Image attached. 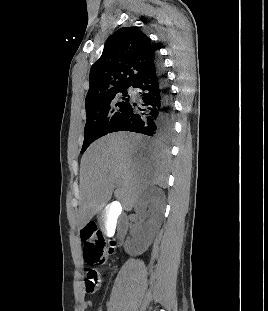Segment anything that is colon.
I'll return each instance as SVG.
<instances>
[{
	"mask_svg": "<svg viewBox=\"0 0 268 311\" xmlns=\"http://www.w3.org/2000/svg\"><path fill=\"white\" fill-rule=\"evenodd\" d=\"M81 241L83 243V256L87 264L97 265L103 264L106 258L113 253V249L105 246L104 238L97 227L89 223L80 232ZM100 286V277L94 270H90L86 274V290L94 292Z\"/></svg>",
	"mask_w": 268,
	"mask_h": 311,
	"instance_id": "obj_1",
	"label": "colon"
}]
</instances>
